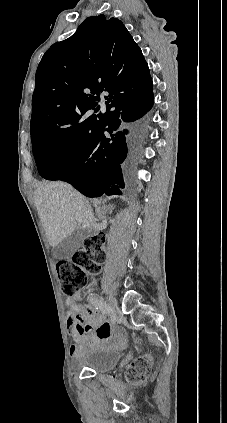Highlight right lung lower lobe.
Instances as JSON below:
<instances>
[{"mask_svg":"<svg viewBox=\"0 0 227 423\" xmlns=\"http://www.w3.org/2000/svg\"><path fill=\"white\" fill-rule=\"evenodd\" d=\"M153 102L151 90L148 94L129 95L112 104L103 126L94 135L93 147L80 159L76 170L62 181L72 184L87 197L121 194L124 188L122 167L136 159L143 138L139 122H132L145 115ZM119 128L124 129L109 138L104 135V130L112 133Z\"/></svg>","mask_w":227,"mask_h":423,"instance_id":"obj_1","label":"right lung lower lobe"}]
</instances>
